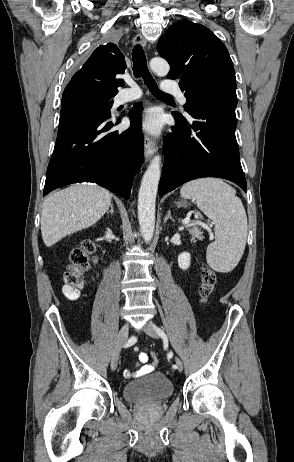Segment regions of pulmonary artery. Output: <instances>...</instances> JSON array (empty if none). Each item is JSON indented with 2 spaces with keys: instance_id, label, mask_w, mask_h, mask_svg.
I'll return each mask as SVG.
<instances>
[{
  "instance_id": "pulmonary-artery-1",
  "label": "pulmonary artery",
  "mask_w": 294,
  "mask_h": 462,
  "mask_svg": "<svg viewBox=\"0 0 294 462\" xmlns=\"http://www.w3.org/2000/svg\"><path fill=\"white\" fill-rule=\"evenodd\" d=\"M128 88H124L117 96L118 103H127L134 100H137L141 97L142 93L139 90L137 84L132 80L128 81ZM162 90L166 93H171L176 95L180 104L185 105L187 103V99L180 90L179 86L175 84H164L162 86Z\"/></svg>"
}]
</instances>
